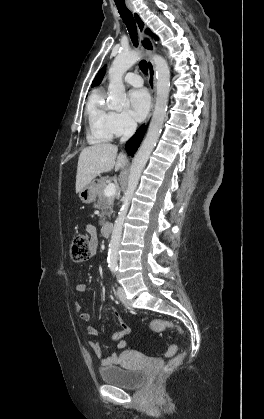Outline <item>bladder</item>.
<instances>
[{"label": "bladder", "instance_id": "bladder-1", "mask_svg": "<svg viewBox=\"0 0 264 419\" xmlns=\"http://www.w3.org/2000/svg\"><path fill=\"white\" fill-rule=\"evenodd\" d=\"M100 377L106 384L124 389H134L143 383L145 372L142 369L108 366L100 369Z\"/></svg>", "mask_w": 264, "mask_h": 419}]
</instances>
